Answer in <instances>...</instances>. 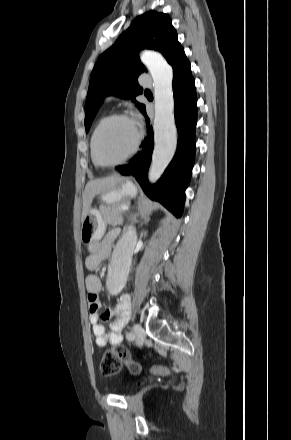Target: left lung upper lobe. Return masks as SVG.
I'll return each mask as SVG.
<instances>
[{"label": "left lung upper lobe", "mask_w": 291, "mask_h": 440, "mask_svg": "<svg viewBox=\"0 0 291 440\" xmlns=\"http://www.w3.org/2000/svg\"><path fill=\"white\" fill-rule=\"evenodd\" d=\"M144 48L161 52L170 65L184 54L167 14L149 11L137 17L117 41L100 55L91 73L85 103L86 132L90 129L103 97L109 94L131 98L145 113V106L135 100L143 92L137 78L145 71L138 55Z\"/></svg>", "instance_id": "5c2ea615"}]
</instances>
